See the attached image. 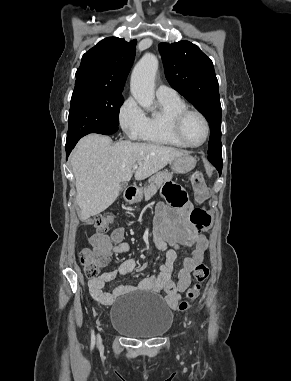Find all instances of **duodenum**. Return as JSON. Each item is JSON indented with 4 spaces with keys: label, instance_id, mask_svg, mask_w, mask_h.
Masks as SVG:
<instances>
[{
    "label": "duodenum",
    "instance_id": "410a0bca",
    "mask_svg": "<svg viewBox=\"0 0 291 381\" xmlns=\"http://www.w3.org/2000/svg\"><path fill=\"white\" fill-rule=\"evenodd\" d=\"M139 190L136 187H128L125 190V198L129 203H134L136 198L138 197Z\"/></svg>",
    "mask_w": 291,
    "mask_h": 381
}]
</instances>
